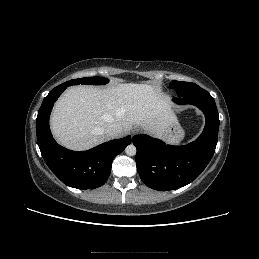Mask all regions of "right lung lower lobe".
<instances>
[{
    "instance_id": "1",
    "label": "right lung lower lobe",
    "mask_w": 259,
    "mask_h": 259,
    "mask_svg": "<svg viewBox=\"0 0 259 259\" xmlns=\"http://www.w3.org/2000/svg\"><path fill=\"white\" fill-rule=\"evenodd\" d=\"M67 87L61 84L44 98L36 119L37 143L46 164L64 184L77 189H95L107 181L113 159L132 139L126 136L83 152L58 145L50 132L49 117L54 102Z\"/></svg>"
}]
</instances>
